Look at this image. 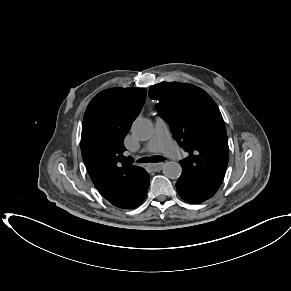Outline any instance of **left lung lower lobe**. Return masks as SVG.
<instances>
[{
	"label": "left lung lower lobe",
	"mask_w": 291,
	"mask_h": 291,
	"mask_svg": "<svg viewBox=\"0 0 291 291\" xmlns=\"http://www.w3.org/2000/svg\"><path fill=\"white\" fill-rule=\"evenodd\" d=\"M176 189L183 200L191 204H198L211 198L218 190V187L182 172L176 183Z\"/></svg>",
	"instance_id": "left-lung-lower-lobe-1"
}]
</instances>
